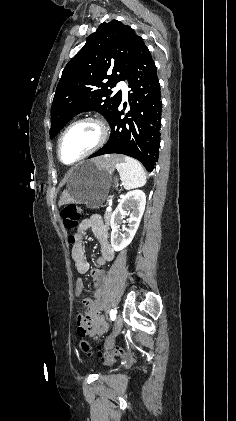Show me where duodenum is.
<instances>
[{
	"mask_svg": "<svg viewBox=\"0 0 236 421\" xmlns=\"http://www.w3.org/2000/svg\"><path fill=\"white\" fill-rule=\"evenodd\" d=\"M114 257V251L110 247H104L102 250V255L98 258L97 262L99 265H104L107 262L111 261ZM93 277L97 283V290L95 292V300L91 303L92 311H91V319L84 320L83 327L85 329L84 332L89 334H96L98 333L97 328V321L95 319V314L98 310H100L103 306V279H104V271L102 269H95L93 271ZM89 318V317H87Z\"/></svg>",
	"mask_w": 236,
	"mask_h": 421,
	"instance_id": "410a0bca",
	"label": "duodenum"
}]
</instances>
